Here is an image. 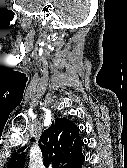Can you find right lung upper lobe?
Here are the masks:
<instances>
[{
  "mask_svg": "<svg viewBox=\"0 0 127 168\" xmlns=\"http://www.w3.org/2000/svg\"><path fill=\"white\" fill-rule=\"evenodd\" d=\"M39 146L45 166L52 165L57 168L61 164V168H73L84 158L79 128L67 118L54 120L51 127L42 133ZM24 150L25 147H22L11 156L7 168H24Z\"/></svg>",
  "mask_w": 127,
  "mask_h": 168,
  "instance_id": "right-lung-upper-lobe-1",
  "label": "right lung upper lobe"
}]
</instances>
